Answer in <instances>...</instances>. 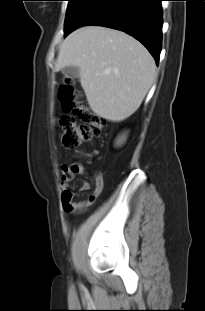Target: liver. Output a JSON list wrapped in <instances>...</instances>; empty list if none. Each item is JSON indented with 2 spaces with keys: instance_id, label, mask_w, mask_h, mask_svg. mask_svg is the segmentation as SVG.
<instances>
[{
  "instance_id": "obj_1",
  "label": "liver",
  "mask_w": 205,
  "mask_h": 311,
  "mask_svg": "<svg viewBox=\"0 0 205 311\" xmlns=\"http://www.w3.org/2000/svg\"><path fill=\"white\" fill-rule=\"evenodd\" d=\"M69 66L79 67L91 110L113 122L140 107L156 77L154 59L139 41L101 26L82 27L66 37L55 71Z\"/></svg>"
}]
</instances>
